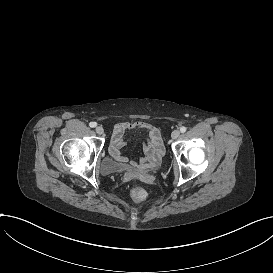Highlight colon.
<instances>
[{
    "mask_svg": "<svg viewBox=\"0 0 273 273\" xmlns=\"http://www.w3.org/2000/svg\"><path fill=\"white\" fill-rule=\"evenodd\" d=\"M127 197L137 203H146L148 201L147 191L139 184H134L129 188Z\"/></svg>",
    "mask_w": 273,
    "mask_h": 273,
    "instance_id": "5ec220e1",
    "label": "colon"
}]
</instances>
